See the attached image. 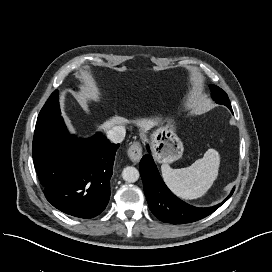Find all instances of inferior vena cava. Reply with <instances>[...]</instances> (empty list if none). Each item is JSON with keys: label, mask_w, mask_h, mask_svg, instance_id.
Masks as SVG:
<instances>
[{"label": "inferior vena cava", "mask_w": 272, "mask_h": 272, "mask_svg": "<svg viewBox=\"0 0 272 272\" xmlns=\"http://www.w3.org/2000/svg\"><path fill=\"white\" fill-rule=\"evenodd\" d=\"M126 130L124 126H114L107 131L108 139L113 143H121L124 140Z\"/></svg>", "instance_id": "602c4592"}]
</instances>
